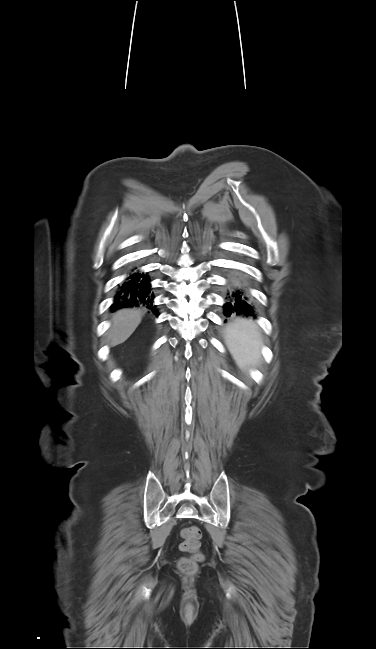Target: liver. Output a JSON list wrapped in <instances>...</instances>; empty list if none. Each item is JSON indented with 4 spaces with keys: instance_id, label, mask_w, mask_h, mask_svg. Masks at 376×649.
I'll list each match as a JSON object with an SVG mask.
<instances>
[{
    "instance_id": "1",
    "label": "liver",
    "mask_w": 376,
    "mask_h": 649,
    "mask_svg": "<svg viewBox=\"0 0 376 649\" xmlns=\"http://www.w3.org/2000/svg\"><path fill=\"white\" fill-rule=\"evenodd\" d=\"M144 312L137 308H124L113 315L107 342L114 347L124 343L136 330Z\"/></svg>"
}]
</instances>
